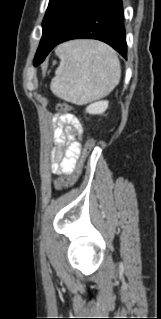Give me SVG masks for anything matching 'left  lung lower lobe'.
<instances>
[{"label": "left lung lower lobe", "mask_w": 161, "mask_h": 319, "mask_svg": "<svg viewBox=\"0 0 161 319\" xmlns=\"http://www.w3.org/2000/svg\"><path fill=\"white\" fill-rule=\"evenodd\" d=\"M85 38L103 41L127 58L122 0H100L45 52V57L62 42Z\"/></svg>", "instance_id": "obj_1"}]
</instances>
